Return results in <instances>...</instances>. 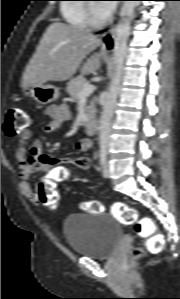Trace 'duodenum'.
<instances>
[{
	"label": "duodenum",
	"mask_w": 180,
	"mask_h": 299,
	"mask_svg": "<svg viewBox=\"0 0 180 299\" xmlns=\"http://www.w3.org/2000/svg\"><path fill=\"white\" fill-rule=\"evenodd\" d=\"M97 122L95 120H88L85 124V130L88 134L93 135L96 133Z\"/></svg>",
	"instance_id": "1"
}]
</instances>
